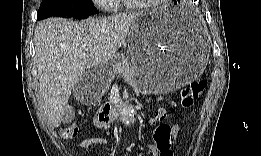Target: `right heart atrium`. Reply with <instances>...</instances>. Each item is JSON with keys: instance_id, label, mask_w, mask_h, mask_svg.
I'll use <instances>...</instances> for the list:
<instances>
[{"instance_id": "right-heart-atrium-1", "label": "right heart atrium", "mask_w": 261, "mask_h": 156, "mask_svg": "<svg viewBox=\"0 0 261 156\" xmlns=\"http://www.w3.org/2000/svg\"><path fill=\"white\" fill-rule=\"evenodd\" d=\"M97 4L101 8L108 10V11H112L115 9V1H112V0H100L97 2Z\"/></svg>"}]
</instances>
